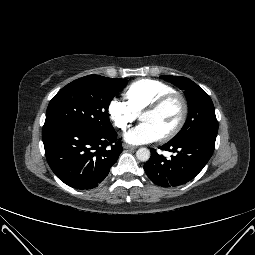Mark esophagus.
I'll return each instance as SVG.
<instances>
[{"mask_svg": "<svg viewBox=\"0 0 255 255\" xmlns=\"http://www.w3.org/2000/svg\"><path fill=\"white\" fill-rule=\"evenodd\" d=\"M123 148H124V149H131V150L135 149L134 146L129 145V144H123Z\"/></svg>", "mask_w": 255, "mask_h": 255, "instance_id": "esophagus-1", "label": "esophagus"}]
</instances>
